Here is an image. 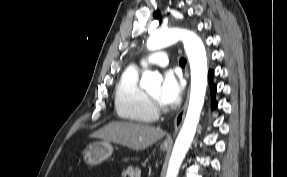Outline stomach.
Wrapping results in <instances>:
<instances>
[{
	"mask_svg": "<svg viewBox=\"0 0 287 177\" xmlns=\"http://www.w3.org/2000/svg\"><path fill=\"white\" fill-rule=\"evenodd\" d=\"M169 147L161 145V150L166 151ZM113 153V146L109 141H98L89 144L83 152V159L89 165H96L108 159Z\"/></svg>",
	"mask_w": 287,
	"mask_h": 177,
	"instance_id": "stomach-1",
	"label": "stomach"
}]
</instances>
